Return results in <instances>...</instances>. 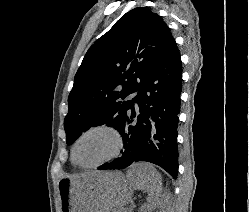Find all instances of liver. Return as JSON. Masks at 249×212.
Returning <instances> with one entry per match:
<instances>
[{"mask_svg": "<svg viewBox=\"0 0 249 212\" xmlns=\"http://www.w3.org/2000/svg\"><path fill=\"white\" fill-rule=\"evenodd\" d=\"M150 168H153L151 164H132L126 176H121L118 172H87V174H80L78 178L90 180L98 186L105 212H111V208L127 206L131 202L133 190H147L148 192V184L153 190V196L156 194L155 184H159L162 190L161 176H157L155 180L150 178V182H147ZM148 194L150 196V192Z\"/></svg>", "mask_w": 249, "mask_h": 212, "instance_id": "6515ba94", "label": "liver"}]
</instances>
